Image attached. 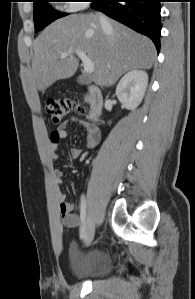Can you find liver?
Segmentation results:
<instances>
[{"label":"liver","instance_id":"1","mask_svg":"<svg viewBox=\"0 0 195 299\" xmlns=\"http://www.w3.org/2000/svg\"><path fill=\"white\" fill-rule=\"evenodd\" d=\"M105 32L98 15L74 14L60 18L35 39L33 77L39 91L55 81L72 77L78 69L76 51H83L94 63L93 80L112 85L129 70L150 69L156 58L153 42L130 28L110 20ZM69 53L65 58L61 53Z\"/></svg>","mask_w":195,"mask_h":299}]
</instances>
